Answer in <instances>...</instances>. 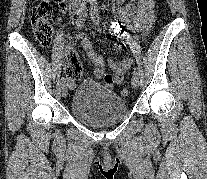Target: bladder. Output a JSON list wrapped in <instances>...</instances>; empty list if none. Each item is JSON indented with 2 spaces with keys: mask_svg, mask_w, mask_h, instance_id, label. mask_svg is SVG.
I'll return each instance as SVG.
<instances>
[{
  "mask_svg": "<svg viewBox=\"0 0 207 179\" xmlns=\"http://www.w3.org/2000/svg\"><path fill=\"white\" fill-rule=\"evenodd\" d=\"M128 104L116 92L92 80H84L71 100L72 114L84 124L106 126L120 121Z\"/></svg>",
  "mask_w": 207,
  "mask_h": 179,
  "instance_id": "bladder-1",
  "label": "bladder"
}]
</instances>
